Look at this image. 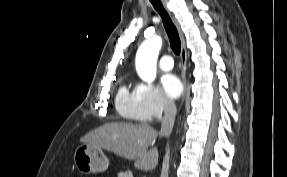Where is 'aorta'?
<instances>
[{
  "label": "aorta",
  "mask_w": 287,
  "mask_h": 177,
  "mask_svg": "<svg viewBox=\"0 0 287 177\" xmlns=\"http://www.w3.org/2000/svg\"><path fill=\"white\" fill-rule=\"evenodd\" d=\"M162 46L160 36L144 41L136 54V70L142 80L152 83L156 77V63Z\"/></svg>",
  "instance_id": "obj_1"
}]
</instances>
